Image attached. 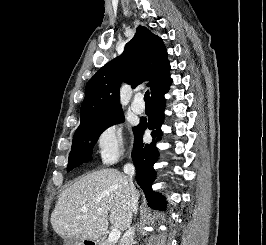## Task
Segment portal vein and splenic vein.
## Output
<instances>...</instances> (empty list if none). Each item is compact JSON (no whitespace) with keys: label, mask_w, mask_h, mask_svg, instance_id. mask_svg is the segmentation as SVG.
Returning a JSON list of instances; mask_svg holds the SVG:
<instances>
[{"label":"portal vein and splenic vein","mask_w":266,"mask_h":245,"mask_svg":"<svg viewBox=\"0 0 266 245\" xmlns=\"http://www.w3.org/2000/svg\"><path fill=\"white\" fill-rule=\"evenodd\" d=\"M97 211H102V209H97ZM82 213H87L86 209H82ZM121 233L119 229H112L111 233H109L108 241L109 243H115L118 241Z\"/></svg>","instance_id":"1"}]
</instances>
